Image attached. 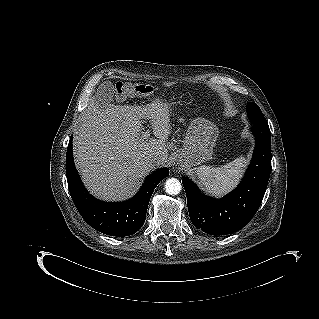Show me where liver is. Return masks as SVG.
Masks as SVG:
<instances>
[{"mask_svg": "<svg viewBox=\"0 0 319 319\" xmlns=\"http://www.w3.org/2000/svg\"><path fill=\"white\" fill-rule=\"evenodd\" d=\"M97 92L85 109L73 138L77 169L97 198L121 201L134 195L154 166L148 159H168L170 134L168 103L160 99L148 107L114 105ZM149 117L156 139L142 138V119Z\"/></svg>", "mask_w": 319, "mask_h": 319, "instance_id": "6515ba94", "label": "liver"}]
</instances>
